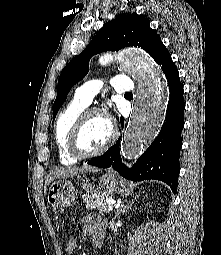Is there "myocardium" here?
<instances>
[{
  "instance_id": "1",
  "label": "myocardium",
  "mask_w": 221,
  "mask_h": 255,
  "mask_svg": "<svg viewBox=\"0 0 221 255\" xmlns=\"http://www.w3.org/2000/svg\"><path fill=\"white\" fill-rule=\"evenodd\" d=\"M94 115L100 116L106 120L109 127V135L105 143L99 149L92 152H84L80 147L81 132L84 125L88 121V119ZM115 138H116V129L109 115L103 110H100L97 108H91L86 111H83L81 116L78 118V120L74 124L69 135L68 150L70 154L78 160L97 157L108 150V148L114 142Z\"/></svg>"
}]
</instances>
